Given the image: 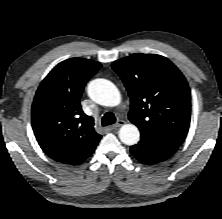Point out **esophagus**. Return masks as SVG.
<instances>
[{"label": "esophagus", "mask_w": 222, "mask_h": 219, "mask_svg": "<svg viewBox=\"0 0 222 219\" xmlns=\"http://www.w3.org/2000/svg\"><path fill=\"white\" fill-rule=\"evenodd\" d=\"M124 121L123 120H119V121H117V123H115L114 125H112V129H117V128H119V127H121L122 125H124Z\"/></svg>", "instance_id": "esophagus-1"}]
</instances>
